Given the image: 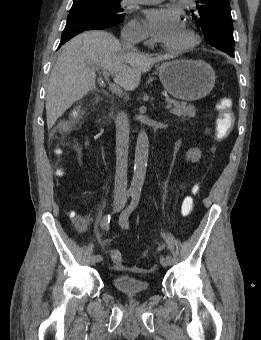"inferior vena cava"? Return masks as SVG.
Masks as SVG:
<instances>
[{
  "label": "inferior vena cava",
  "mask_w": 261,
  "mask_h": 340,
  "mask_svg": "<svg viewBox=\"0 0 261 340\" xmlns=\"http://www.w3.org/2000/svg\"><path fill=\"white\" fill-rule=\"evenodd\" d=\"M123 48L134 50L138 40L127 34H121ZM129 144V120L123 111L116 116V173L114 198L125 199L127 196V165Z\"/></svg>",
  "instance_id": "1"
}]
</instances>
